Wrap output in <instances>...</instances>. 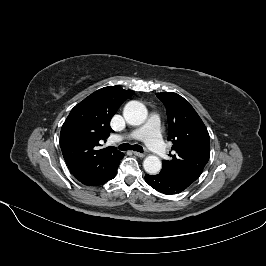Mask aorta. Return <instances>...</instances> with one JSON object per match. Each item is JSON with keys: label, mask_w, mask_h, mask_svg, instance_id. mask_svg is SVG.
Segmentation results:
<instances>
[{"label": "aorta", "mask_w": 266, "mask_h": 266, "mask_svg": "<svg viewBox=\"0 0 266 266\" xmlns=\"http://www.w3.org/2000/svg\"><path fill=\"white\" fill-rule=\"evenodd\" d=\"M148 112L145 105L139 101H130L124 108V117L131 125H141L145 122ZM144 170L151 175L160 172L162 163L155 155L147 156L143 162Z\"/></svg>", "instance_id": "1"}]
</instances>
